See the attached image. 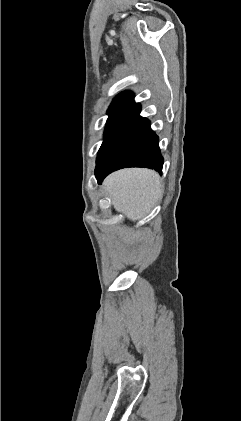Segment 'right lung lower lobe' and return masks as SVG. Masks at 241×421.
Returning <instances> with one entry per match:
<instances>
[{
	"mask_svg": "<svg viewBox=\"0 0 241 421\" xmlns=\"http://www.w3.org/2000/svg\"><path fill=\"white\" fill-rule=\"evenodd\" d=\"M141 106L134 104L126 121L110 146L98 160L95 175L99 184L112 171L125 167H146L161 172L163 157L158 136L150 121L140 117Z\"/></svg>",
	"mask_w": 241,
	"mask_h": 421,
	"instance_id": "1",
	"label": "right lung lower lobe"
}]
</instances>
